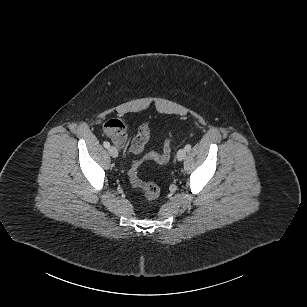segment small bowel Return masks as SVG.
I'll return each mask as SVG.
<instances>
[{"mask_svg":"<svg viewBox=\"0 0 307 307\" xmlns=\"http://www.w3.org/2000/svg\"><path fill=\"white\" fill-rule=\"evenodd\" d=\"M129 124L118 118L109 119L104 124L103 130L105 135L110 138L113 143L121 148H127V130ZM150 129L148 124H142L138 130L137 135L133 138L128 151L131 154L138 155L141 154L144 150V146L149 139Z\"/></svg>","mask_w":307,"mask_h":307,"instance_id":"c3829d8e","label":"small bowel"}]
</instances>
